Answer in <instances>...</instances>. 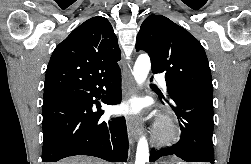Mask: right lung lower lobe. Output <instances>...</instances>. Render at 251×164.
I'll use <instances>...</instances> for the list:
<instances>
[{
  "instance_id": "right-lung-lower-lobe-1",
  "label": "right lung lower lobe",
  "mask_w": 251,
  "mask_h": 164,
  "mask_svg": "<svg viewBox=\"0 0 251 164\" xmlns=\"http://www.w3.org/2000/svg\"><path fill=\"white\" fill-rule=\"evenodd\" d=\"M103 87L111 88L104 103L117 104L121 99L120 69L100 81L55 90V93L44 97L42 162H57L74 155L126 162L128 138L125 119L104 120L101 118L103 113L92 111L93 98H101Z\"/></svg>"
}]
</instances>
